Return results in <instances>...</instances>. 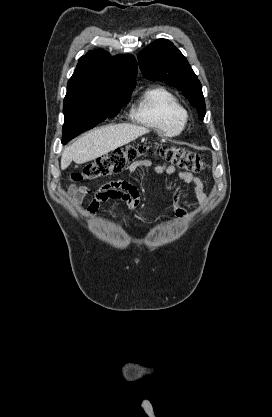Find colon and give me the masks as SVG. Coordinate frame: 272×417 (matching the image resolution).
Segmentation results:
<instances>
[{
	"mask_svg": "<svg viewBox=\"0 0 272 417\" xmlns=\"http://www.w3.org/2000/svg\"><path fill=\"white\" fill-rule=\"evenodd\" d=\"M156 151L171 164L187 172L198 173L207 167L199 154L179 147L164 146ZM148 152H150V148L146 145L116 149L88 163L80 172L73 173L72 179L75 181L97 180L103 176L122 170L129 161L146 155Z\"/></svg>",
	"mask_w": 272,
	"mask_h": 417,
	"instance_id": "obj_1",
	"label": "colon"
}]
</instances>
